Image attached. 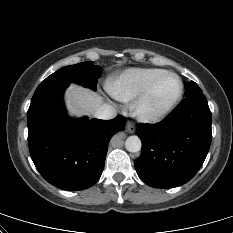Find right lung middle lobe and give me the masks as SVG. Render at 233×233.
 Returning <instances> with one entry per match:
<instances>
[{
	"mask_svg": "<svg viewBox=\"0 0 233 233\" xmlns=\"http://www.w3.org/2000/svg\"><path fill=\"white\" fill-rule=\"evenodd\" d=\"M100 72V67L95 66L92 61L63 67L48 76L37 87L32 100L51 92L64 90L69 86V83H77L96 90V83Z\"/></svg>",
	"mask_w": 233,
	"mask_h": 233,
	"instance_id": "obj_1",
	"label": "right lung middle lobe"
}]
</instances>
